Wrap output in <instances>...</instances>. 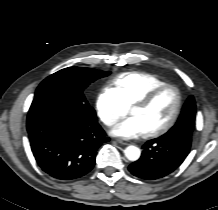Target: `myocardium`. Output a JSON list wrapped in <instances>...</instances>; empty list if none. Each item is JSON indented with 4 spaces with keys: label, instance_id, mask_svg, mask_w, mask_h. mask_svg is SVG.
<instances>
[{
    "label": "myocardium",
    "instance_id": "1",
    "mask_svg": "<svg viewBox=\"0 0 218 210\" xmlns=\"http://www.w3.org/2000/svg\"><path fill=\"white\" fill-rule=\"evenodd\" d=\"M167 89L174 90V92L176 94L175 109L172 113V116L168 120V122L156 130L147 132L145 134L147 137H158L160 135H163L164 133L168 132L175 125L176 121L179 118V115H180V112L182 109V104H183V98H182V93H181L180 89L174 84L165 83V84L160 85V86L154 88L153 90L149 91L142 98H140L138 101H136L131 108V110H132L134 107H147V106H149L163 91H165Z\"/></svg>",
    "mask_w": 218,
    "mask_h": 210
}]
</instances>
